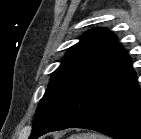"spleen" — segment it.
I'll use <instances>...</instances> for the list:
<instances>
[{
    "mask_svg": "<svg viewBox=\"0 0 141 139\" xmlns=\"http://www.w3.org/2000/svg\"><path fill=\"white\" fill-rule=\"evenodd\" d=\"M69 139H108L106 136L95 133L74 134Z\"/></svg>",
    "mask_w": 141,
    "mask_h": 139,
    "instance_id": "obj_1",
    "label": "spleen"
}]
</instances>
